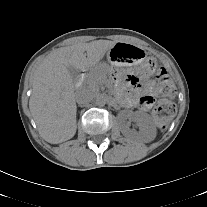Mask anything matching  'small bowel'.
<instances>
[{
    "label": "small bowel",
    "mask_w": 207,
    "mask_h": 207,
    "mask_svg": "<svg viewBox=\"0 0 207 207\" xmlns=\"http://www.w3.org/2000/svg\"><path fill=\"white\" fill-rule=\"evenodd\" d=\"M150 67H144L141 71L142 77L146 76ZM128 85L132 88V94L121 93L123 102L127 106H138L142 110L149 109L154 103V90L155 86L153 83L140 80L134 75H128L126 78Z\"/></svg>",
    "instance_id": "small-bowel-1"
}]
</instances>
